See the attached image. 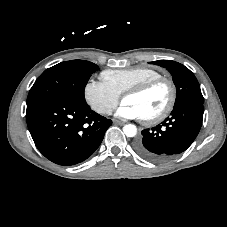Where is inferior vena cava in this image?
Wrapping results in <instances>:
<instances>
[{"instance_id":"inferior-vena-cava-1","label":"inferior vena cava","mask_w":227,"mask_h":227,"mask_svg":"<svg viewBox=\"0 0 227 227\" xmlns=\"http://www.w3.org/2000/svg\"><path fill=\"white\" fill-rule=\"evenodd\" d=\"M103 113L107 114V115H111L112 114V109L111 108H106L103 110Z\"/></svg>"}]
</instances>
